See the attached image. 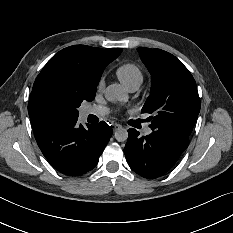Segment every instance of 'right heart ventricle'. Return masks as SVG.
I'll return each mask as SVG.
<instances>
[{
  "label": "right heart ventricle",
  "mask_w": 233,
  "mask_h": 233,
  "mask_svg": "<svg viewBox=\"0 0 233 233\" xmlns=\"http://www.w3.org/2000/svg\"><path fill=\"white\" fill-rule=\"evenodd\" d=\"M116 76L127 89L131 87H139L143 82V72L141 67L132 61L120 64L116 69Z\"/></svg>",
  "instance_id": "e07e8e85"
}]
</instances>
